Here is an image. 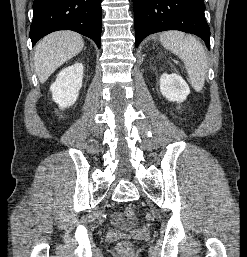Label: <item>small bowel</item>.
Returning <instances> with one entry per match:
<instances>
[{"label": "small bowel", "mask_w": 247, "mask_h": 257, "mask_svg": "<svg viewBox=\"0 0 247 257\" xmlns=\"http://www.w3.org/2000/svg\"><path fill=\"white\" fill-rule=\"evenodd\" d=\"M112 221L118 227H125L126 226L122 216L119 213H114L112 215Z\"/></svg>", "instance_id": "c3829d8e"}]
</instances>
